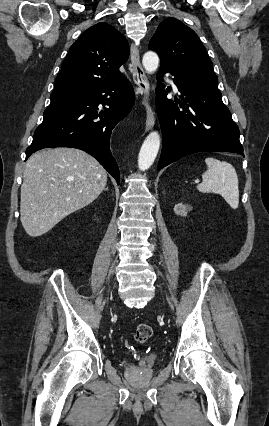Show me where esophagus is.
Masks as SVG:
<instances>
[{
	"mask_svg": "<svg viewBox=\"0 0 269 426\" xmlns=\"http://www.w3.org/2000/svg\"><path fill=\"white\" fill-rule=\"evenodd\" d=\"M131 59V72L133 75V82L136 85L137 91L143 96L142 104L146 110V130L149 131L155 124V117L151 106L148 103L150 94V87L147 77L140 63L139 49L136 45L132 44L130 51Z\"/></svg>",
	"mask_w": 269,
	"mask_h": 426,
	"instance_id": "esophagus-1",
	"label": "esophagus"
}]
</instances>
